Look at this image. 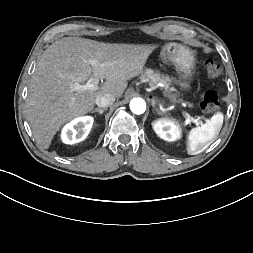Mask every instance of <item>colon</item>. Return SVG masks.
I'll return each instance as SVG.
<instances>
[{"instance_id":"5ec220e1","label":"colon","mask_w":253,"mask_h":253,"mask_svg":"<svg viewBox=\"0 0 253 253\" xmlns=\"http://www.w3.org/2000/svg\"><path fill=\"white\" fill-rule=\"evenodd\" d=\"M204 66L206 74L210 78L215 79L219 77L222 72L221 65L214 60H207ZM200 107L204 112L207 113L216 111L218 108L217 93L213 90L206 91L200 101Z\"/></svg>"}]
</instances>
